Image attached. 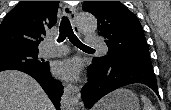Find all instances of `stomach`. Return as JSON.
<instances>
[{"instance_id": "stomach-1", "label": "stomach", "mask_w": 171, "mask_h": 110, "mask_svg": "<svg viewBox=\"0 0 171 110\" xmlns=\"http://www.w3.org/2000/svg\"><path fill=\"white\" fill-rule=\"evenodd\" d=\"M102 107L98 110H139L137 96L127 89H119L100 101Z\"/></svg>"}]
</instances>
